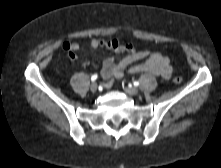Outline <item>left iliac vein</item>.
Wrapping results in <instances>:
<instances>
[{"mask_svg": "<svg viewBox=\"0 0 221 168\" xmlns=\"http://www.w3.org/2000/svg\"><path fill=\"white\" fill-rule=\"evenodd\" d=\"M124 91L129 95H137L139 93L138 89L135 87H126Z\"/></svg>", "mask_w": 221, "mask_h": 168, "instance_id": "left-iliac-vein-1", "label": "left iliac vein"}]
</instances>
